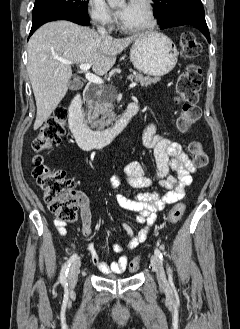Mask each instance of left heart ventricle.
Listing matches in <instances>:
<instances>
[{
    "mask_svg": "<svg viewBox=\"0 0 240 329\" xmlns=\"http://www.w3.org/2000/svg\"><path fill=\"white\" fill-rule=\"evenodd\" d=\"M127 26H140L147 22V11L140 0H132L126 17L122 19Z\"/></svg>",
    "mask_w": 240,
    "mask_h": 329,
    "instance_id": "1",
    "label": "left heart ventricle"
}]
</instances>
